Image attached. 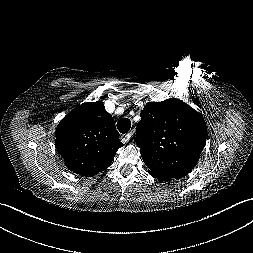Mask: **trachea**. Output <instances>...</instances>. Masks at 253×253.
Masks as SVG:
<instances>
[{
	"instance_id": "3493384b",
	"label": "trachea",
	"mask_w": 253,
	"mask_h": 253,
	"mask_svg": "<svg viewBox=\"0 0 253 253\" xmlns=\"http://www.w3.org/2000/svg\"><path fill=\"white\" fill-rule=\"evenodd\" d=\"M131 122L128 118H122L117 123V128L121 133H127L130 130Z\"/></svg>"
}]
</instances>
